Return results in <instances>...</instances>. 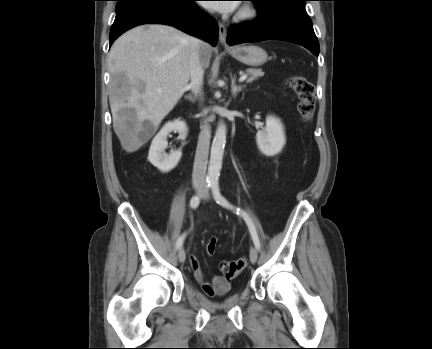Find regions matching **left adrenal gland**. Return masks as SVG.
<instances>
[{
	"instance_id": "a2214340",
	"label": "left adrenal gland",
	"mask_w": 432,
	"mask_h": 349,
	"mask_svg": "<svg viewBox=\"0 0 432 349\" xmlns=\"http://www.w3.org/2000/svg\"><path fill=\"white\" fill-rule=\"evenodd\" d=\"M246 86L245 85H239L237 86L235 84V77L232 78V84H231V92L233 97L235 98L237 96V94L242 91V89H244Z\"/></svg>"
}]
</instances>
